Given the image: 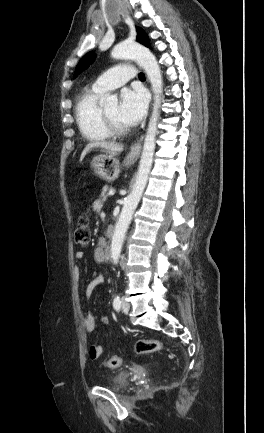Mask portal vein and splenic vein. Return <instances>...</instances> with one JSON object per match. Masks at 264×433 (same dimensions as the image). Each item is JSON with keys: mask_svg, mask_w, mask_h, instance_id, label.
<instances>
[{"mask_svg": "<svg viewBox=\"0 0 264 433\" xmlns=\"http://www.w3.org/2000/svg\"><path fill=\"white\" fill-rule=\"evenodd\" d=\"M108 194H109V195H114V194H115V191H114V190H110Z\"/></svg>", "mask_w": 264, "mask_h": 433, "instance_id": "1", "label": "portal vein and splenic vein"}]
</instances>
